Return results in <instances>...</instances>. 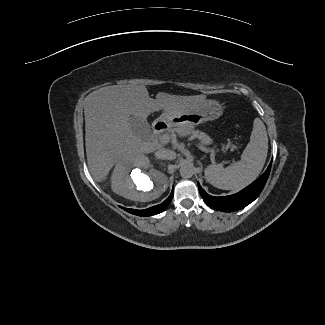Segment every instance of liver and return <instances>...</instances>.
I'll return each mask as SVG.
<instances>
[{"mask_svg": "<svg viewBox=\"0 0 325 325\" xmlns=\"http://www.w3.org/2000/svg\"><path fill=\"white\" fill-rule=\"evenodd\" d=\"M206 95L179 96L159 92L149 97L144 85H113L90 93L85 99V146L89 171L97 182L106 179L116 164L135 162L162 144L143 140L130 128V116L146 118L154 111L168 114L187 112L202 102ZM193 126L180 125L176 131L187 136Z\"/></svg>", "mask_w": 325, "mask_h": 325, "instance_id": "liver-1", "label": "liver"}]
</instances>
